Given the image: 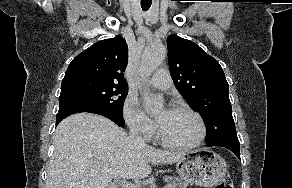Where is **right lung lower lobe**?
<instances>
[{"instance_id": "1", "label": "right lung lower lobe", "mask_w": 292, "mask_h": 188, "mask_svg": "<svg viewBox=\"0 0 292 188\" xmlns=\"http://www.w3.org/2000/svg\"><path fill=\"white\" fill-rule=\"evenodd\" d=\"M80 112H89L102 115L116 123L118 126H124L125 124L123 116L113 115L109 112L103 111L102 109L91 106L81 101H65L59 103V111L57 113L56 125L67 116Z\"/></svg>"}]
</instances>
